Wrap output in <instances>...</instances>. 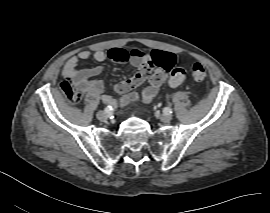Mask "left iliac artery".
<instances>
[{
    "label": "left iliac artery",
    "instance_id": "left-iliac-artery-1",
    "mask_svg": "<svg viewBox=\"0 0 270 213\" xmlns=\"http://www.w3.org/2000/svg\"><path fill=\"white\" fill-rule=\"evenodd\" d=\"M164 113H165V114H171V113H172V109L169 108V107H166V108L164 109Z\"/></svg>",
    "mask_w": 270,
    "mask_h": 213
}]
</instances>
